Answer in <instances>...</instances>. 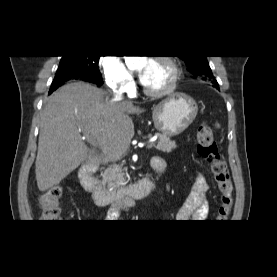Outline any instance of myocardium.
<instances>
[{"mask_svg":"<svg viewBox=\"0 0 277 277\" xmlns=\"http://www.w3.org/2000/svg\"><path fill=\"white\" fill-rule=\"evenodd\" d=\"M156 61L161 62L168 67L170 71V80L163 88L150 89L148 87H144L143 91L148 96L161 97L174 91L179 80L180 71L177 63L168 56H159L156 58Z\"/></svg>","mask_w":277,"mask_h":277,"instance_id":"f54148a6","label":"myocardium"}]
</instances>
